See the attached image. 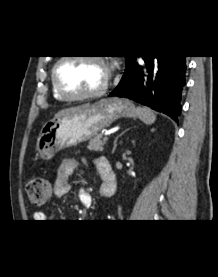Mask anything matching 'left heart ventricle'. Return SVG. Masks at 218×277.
Masks as SVG:
<instances>
[{
    "label": "left heart ventricle",
    "instance_id": "1",
    "mask_svg": "<svg viewBox=\"0 0 218 277\" xmlns=\"http://www.w3.org/2000/svg\"><path fill=\"white\" fill-rule=\"evenodd\" d=\"M106 75V68L92 60L68 59L58 67L60 84L72 95L98 89L105 81Z\"/></svg>",
    "mask_w": 218,
    "mask_h": 277
}]
</instances>
